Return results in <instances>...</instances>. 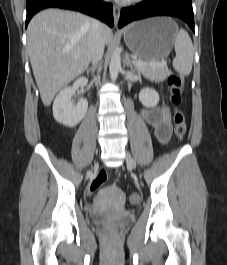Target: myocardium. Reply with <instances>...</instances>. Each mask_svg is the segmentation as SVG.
<instances>
[{"label": "myocardium", "instance_id": "myocardium-1", "mask_svg": "<svg viewBox=\"0 0 227 265\" xmlns=\"http://www.w3.org/2000/svg\"><path fill=\"white\" fill-rule=\"evenodd\" d=\"M129 3H136V2H140L142 0H127Z\"/></svg>", "mask_w": 227, "mask_h": 265}]
</instances>
